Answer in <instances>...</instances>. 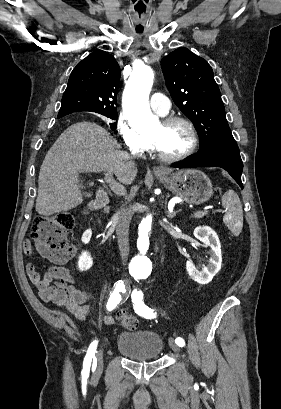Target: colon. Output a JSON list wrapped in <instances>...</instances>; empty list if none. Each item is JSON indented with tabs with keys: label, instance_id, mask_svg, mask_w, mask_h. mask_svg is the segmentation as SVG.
Listing matches in <instances>:
<instances>
[{
	"label": "colon",
	"instance_id": "colon-1",
	"mask_svg": "<svg viewBox=\"0 0 281 409\" xmlns=\"http://www.w3.org/2000/svg\"><path fill=\"white\" fill-rule=\"evenodd\" d=\"M73 225L74 218L68 212L36 216L32 225L31 243L45 250L56 262L64 263L70 257L66 232ZM117 320L130 330L136 329L139 325L138 319L125 311L118 312Z\"/></svg>",
	"mask_w": 281,
	"mask_h": 409
}]
</instances>
